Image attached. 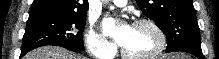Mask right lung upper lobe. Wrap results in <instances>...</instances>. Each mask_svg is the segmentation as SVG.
<instances>
[{"instance_id": "cb5924a9", "label": "right lung upper lobe", "mask_w": 219, "mask_h": 59, "mask_svg": "<svg viewBox=\"0 0 219 59\" xmlns=\"http://www.w3.org/2000/svg\"><path fill=\"white\" fill-rule=\"evenodd\" d=\"M88 0H34L30 13L49 12L64 15H82L88 10Z\"/></svg>"}]
</instances>
